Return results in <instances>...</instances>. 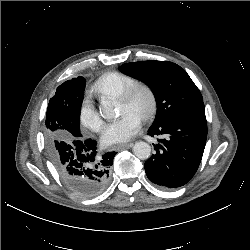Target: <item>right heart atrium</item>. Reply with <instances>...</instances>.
Wrapping results in <instances>:
<instances>
[{
    "instance_id": "right-heart-atrium-1",
    "label": "right heart atrium",
    "mask_w": 250,
    "mask_h": 250,
    "mask_svg": "<svg viewBox=\"0 0 250 250\" xmlns=\"http://www.w3.org/2000/svg\"><path fill=\"white\" fill-rule=\"evenodd\" d=\"M79 119L83 127L94 132L100 130L102 121L98 116L90 97L84 98L79 111Z\"/></svg>"
}]
</instances>
